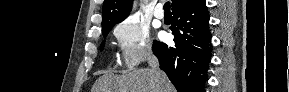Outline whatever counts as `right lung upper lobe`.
Wrapping results in <instances>:
<instances>
[{
  "mask_svg": "<svg viewBox=\"0 0 289 92\" xmlns=\"http://www.w3.org/2000/svg\"><path fill=\"white\" fill-rule=\"evenodd\" d=\"M198 0H172V12L193 5ZM132 0H104L102 10V28L120 23L129 14Z\"/></svg>",
  "mask_w": 289,
  "mask_h": 92,
  "instance_id": "obj_1",
  "label": "right lung upper lobe"
}]
</instances>
